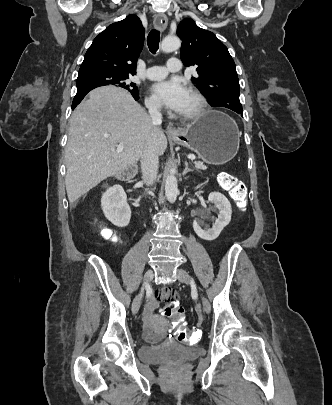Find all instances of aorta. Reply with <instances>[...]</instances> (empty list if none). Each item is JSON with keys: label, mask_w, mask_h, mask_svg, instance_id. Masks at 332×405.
<instances>
[{"label": "aorta", "mask_w": 332, "mask_h": 405, "mask_svg": "<svg viewBox=\"0 0 332 405\" xmlns=\"http://www.w3.org/2000/svg\"><path fill=\"white\" fill-rule=\"evenodd\" d=\"M181 41L176 36H166L161 43V50L165 53L173 52L179 49ZM179 194L177 178L172 170L167 175L165 182V195L170 203H174Z\"/></svg>", "instance_id": "aorta-1"}]
</instances>
